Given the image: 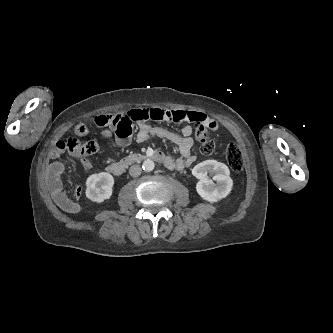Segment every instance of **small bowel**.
I'll list each match as a JSON object with an SVG mask.
<instances>
[{
    "label": "small bowel",
    "mask_w": 333,
    "mask_h": 333,
    "mask_svg": "<svg viewBox=\"0 0 333 333\" xmlns=\"http://www.w3.org/2000/svg\"><path fill=\"white\" fill-rule=\"evenodd\" d=\"M127 118L130 125V132L125 135H117L113 129H106L103 131L105 137H111L113 133L116 137V143L124 147L126 146L132 136V127L134 124L138 126L136 139L138 142H145L153 136L162 137L174 144L179 148L181 158L176 160L167 157V162L164 164L169 169L182 170L186 166H191L195 157L192 154L193 139L191 137L193 127L192 124H202L210 130H217V122L207 116L203 112L193 110H179V109H162V108H136L131 109L127 113ZM167 121L170 123H186L180 133H175L160 127L152 126L148 121ZM82 165L86 170L92 168V162L89 159H82ZM64 170L63 163L54 161L49 165L47 173V183L55 203L64 210L72 212L74 205L68 198L61 182V173ZM81 195L80 187L74 190L75 199H79Z\"/></svg>",
    "instance_id": "small-bowel-1"
}]
</instances>
